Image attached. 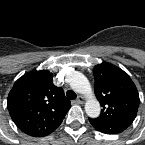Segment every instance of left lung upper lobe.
<instances>
[{
	"instance_id": "left-lung-upper-lobe-1",
	"label": "left lung upper lobe",
	"mask_w": 145,
	"mask_h": 145,
	"mask_svg": "<svg viewBox=\"0 0 145 145\" xmlns=\"http://www.w3.org/2000/svg\"><path fill=\"white\" fill-rule=\"evenodd\" d=\"M93 74L95 94L103 109L99 117L89 121L102 133H121L137 115L140 103L137 88L127 73L110 63L96 65Z\"/></svg>"
}]
</instances>
